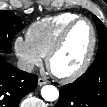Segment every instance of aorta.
<instances>
[{
    "label": "aorta",
    "mask_w": 107,
    "mask_h": 107,
    "mask_svg": "<svg viewBox=\"0 0 107 107\" xmlns=\"http://www.w3.org/2000/svg\"><path fill=\"white\" fill-rule=\"evenodd\" d=\"M41 95L44 100L53 102L58 99L59 91L53 85H45L41 89Z\"/></svg>",
    "instance_id": "1"
}]
</instances>
